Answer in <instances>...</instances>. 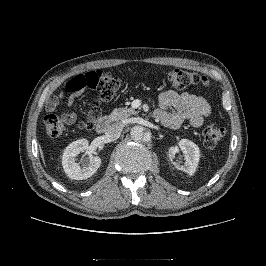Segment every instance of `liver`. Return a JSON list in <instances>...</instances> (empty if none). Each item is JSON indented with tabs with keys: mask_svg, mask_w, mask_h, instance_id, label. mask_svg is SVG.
<instances>
[{
	"mask_svg": "<svg viewBox=\"0 0 266 266\" xmlns=\"http://www.w3.org/2000/svg\"><path fill=\"white\" fill-rule=\"evenodd\" d=\"M40 154H41L42 160L44 161V154H43L41 147H40Z\"/></svg>",
	"mask_w": 266,
	"mask_h": 266,
	"instance_id": "1",
	"label": "liver"
}]
</instances>
